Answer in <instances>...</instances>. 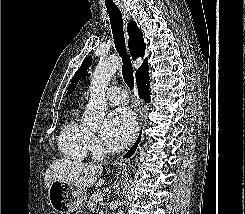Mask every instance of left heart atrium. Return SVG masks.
<instances>
[{"label":"left heart atrium","instance_id":"1","mask_svg":"<svg viewBox=\"0 0 245 214\" xmlns=\"http://www.w3.org/2000/svg\"><path fill=\"white\" fill-rule=\"evenodd\" d=\"M136 121L127 108H117L104 121L101 137L108 152H117L126 147L134 137Z\"/></svg>","mask_w":245,"mask_h":214}]
</instances>
